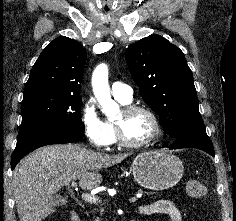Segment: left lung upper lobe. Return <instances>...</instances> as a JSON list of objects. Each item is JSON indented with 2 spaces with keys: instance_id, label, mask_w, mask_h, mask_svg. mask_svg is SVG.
<instances>
[{
  "instance_id": "left-lung-upper-lobe-1",
  "label": "left lung upper lobe",
  "mask_w": 236,
  "mask_h": 221,
  "mask_svg": "<svg viewBox=\"0 0 236 221\" xmlns=\"http://www.w3.org/2000/svg\"><path fill=\"white\" fill-rule=\"evenodd\" d=\"M126 61L144 101L159 115L166 134L176 137L205 130L193 74L177 46L160 35H151L126 50Z\"/></svg>"
}]
</instances>
